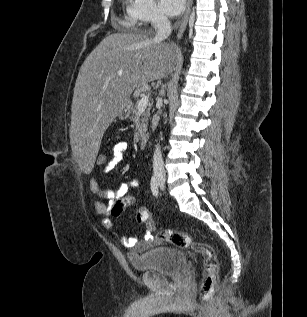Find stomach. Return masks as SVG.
<instances>
[{
  "label": "stomach",
  "instance_id": "0dacf381",
  "mask_svg": "<svg viewBox=\"0 0 307 317\" xmlns=\"http://www.w3.org/2000/svg\"><path fill=\"white\" fill-rule=\"evenodd\" d=\"M131 109H132V102L130 100H127L120 105L117 112V116L119 117V119L124 120L128 118V116L130 115Z\"/></svg>",
  "mask_w": 307,
  "mask_h": 317
}]
</instances>
